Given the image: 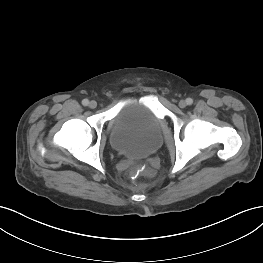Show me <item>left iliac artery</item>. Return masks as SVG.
<instances>
[{
	"label": "left iliac artery",
	"instance_id": "44dca946",
	"mask_svg": "<svg viewBox=\"0 0 263 263\" xmlns=\"http://www.w3.org/2000/svg\"><path fill=\"white\" fill-rule=\"evenodd\" d=\"M186 103H187L188 105H191V104L193 103V100H192L191 98H187V99H186Z\"/></svg>",
	"mask_w": 263,
	"mask_h": 263
}]
</instances>
